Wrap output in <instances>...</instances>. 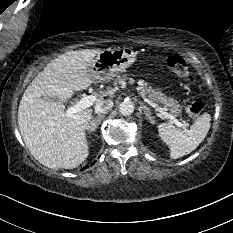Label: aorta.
Listing matches in <instances>:
<instances>
[{
    "label": "aorta",
    "mask_w": 233,
    "mask_h": 233,
    "mask_svg": "<svg viewBox=\"0 0 233 233\" xmlns=\"http://www.w3.org/2000/svg\"><path fill=\"white\" fill-rule=\"evenodd\" d=\"M134 104L131 101H124L119 106V112L123 116H129L134 112Z\"/></svg>",
    "instance_id": "aorta-1"
}]
</instances>
